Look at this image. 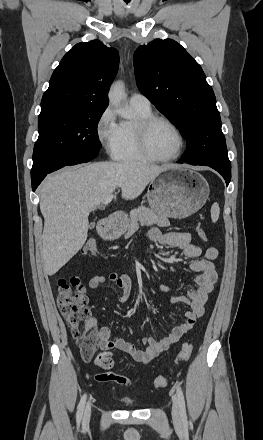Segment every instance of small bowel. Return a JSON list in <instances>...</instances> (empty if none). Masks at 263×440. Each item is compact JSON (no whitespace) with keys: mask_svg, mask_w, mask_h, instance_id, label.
<instances>
[{"mask_svg":"<svg viewBox=\"0 0 263 440\" xmlns=\"http://www.w3.org/2000/svg\"><path fill=\"white\" fill-rule=\"evenodd\" d=\"M147 239L164 246L178 248L186 258L191 259L189 269L196 273L195 282L197 287L196 289H190L187 295L171 297V302L184 303L190 307L185 313V319L179 325L173 327L167 336L159 340L151 337L141 338L140 342L145 346L144 349H139L134 343L114 336L106 326H100L96 329L97 346L99 348L103 350L113 348L121 350L128 353L136 362L142 364L150 363L161 352L178 342L194 326L196 320L202 316L208 294L217 281V272L213 260L217 258L218 252L214 247L201 249L191 242V235L187 232L162 233L156 228L148 231ZM108 282L114 283L120 289L118 301L120 303L127 302L132 292V282L127 274L110 272L95 275L88 280L87 285L90 289H96ZM161 290L166 292L167 287L163 285ZM91 324L97 326L98 321L92 319Z\"/></svg>","mask_w":263,"mask_h":440,"instance_id":"obj_1","label":"small bowel"}]
</instances>
